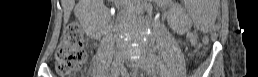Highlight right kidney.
<instances>
[{"mask_svg":"<svg viewBox=\"0 0 258 77\" xmlns=\"http://www.w3.org/2000/svg\"><path fill=\"white\" fill-rule=\"evenodd\" d=\"M82 8H83L84 11H93L94 9H97L96 11L93 12V15H92L93 19L100 18L103 14L106 13L105 8L100 6L99 3H94V4H88L87 3Z\"/></svg>","mask_w":258,"mask_h":77,"instance_id":"1","label":"right kidney"}]
</instances>
